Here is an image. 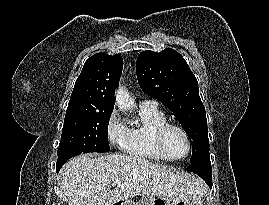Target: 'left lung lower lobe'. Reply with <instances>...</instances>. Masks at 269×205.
<instances>
[{"label":"left lung lower lobe","instance_id":"obj_1","mask_svg":"<svg viewBox=\"0 0 269 205\" xmlns=\"http://www.w3.org/2000/svg\"><path fill=\"white\" fill-rule=\"evenodd\" d=\"M187 170L199 175L210 187H212V168L210 155L204 156L199 161L191 164Z\"/></svg>","mask_w":269,"mask_h":205}]
</instances>
